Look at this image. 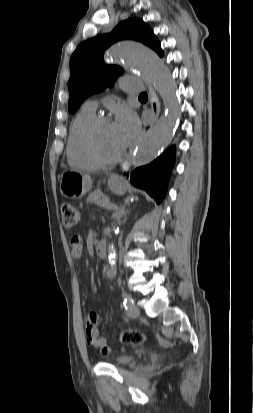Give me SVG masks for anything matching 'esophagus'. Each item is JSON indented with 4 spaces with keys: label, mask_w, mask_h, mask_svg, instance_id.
<instances>
[{
    "label": "esophagus",
    "mask_w": 253,
    "mask_h": 413,
    "mask_svg": "<svg viewBox=\"0 0 253 413\" xmlns=\"http://www.w3.org/2000/svg\"><path fill=\"white\" fill-rule=\"evenodd\" d=\"M148 89H149L150 107H151L152 116H151V120L147 124H145L142 134L152 129L160 113V104L156 96L155 90L151 85H148ZM132 158H133V148L130 150V156L128 157V159L125 160L124 163L122 164L123 169H127L130 166Z\"/></svg>",
    "instance_id": "obj_1"
}]
</instances>
